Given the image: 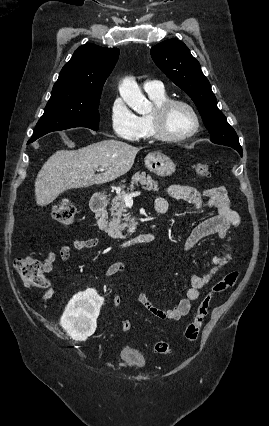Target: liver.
<instances>
[{"mask_svg": "<svg viewBox=\"0 0 269 426\" xmlns=\"http://www.w3.org/2000/svg\"><path fill=\"white\" fill-rule=\"evenodd\" d=\"M139 149L117 140H103L78 150L56 151L44 163L35 180L39 206L52 203L62 192L115 180L133 166ZM101 167L105 172L95 174Z\"/></svg>", "mask_w": 269, "mask_h": 426, "instance_id": "obj_1", "label": "liver"}]
</instances>
